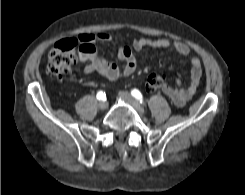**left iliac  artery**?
Wrapping results in <instances>:
<instances>
[{
	"label": "left iliac artery",
	"instance_id": "1",
	"mask_svg": "<svg viewBox=\"0 0 245 195\" xmlns=\"http://www.w3.org/2000/svg\"><path fill=\"white\" fill-rule=\"evenodd\" d=\"M131 95L142 103L143 97H142V94L139 90L133 89L131 91Z\"/></svg>",
	"mask_w": 245,
	"mask_h": 195
}]
</instances>
